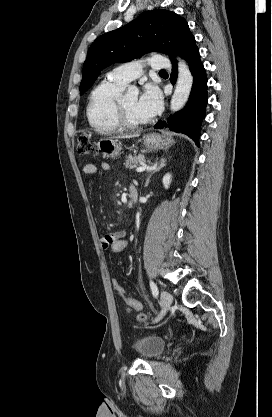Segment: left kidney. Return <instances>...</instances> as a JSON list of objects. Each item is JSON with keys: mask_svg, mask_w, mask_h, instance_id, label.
I'll list each match as a JSON object with an SVG mask.
<instances>
[{"mask_svg": "<svg viewBox=\"0 0 272 417\" xmlns=\"http://www.w3.org/2000/svg\"><path fill=\"white\" fill-rule=\"evenodd\" d=\"M171 181H172V176H171V174L167 173L163 177V181H162L165 189H168L169 188Z\"/></svg>", "mask_w": 272, "mask_h": 417, "instance_id": "left-kidney-1", "label": "left kidney"}]
</instances>
